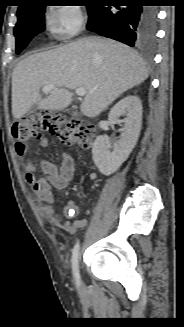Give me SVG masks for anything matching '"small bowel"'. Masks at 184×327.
I'll return each mask as SVG.
<instances>
[{"mask_svg": "<svg viewBox=\"0 0 184 327\" xmlns=\"http://www.w3.org/2000/svg\"><path fill=\"white\" fill-rule=\"evenodd\" d=\"M48 140L41 138L39 141V148L45 149L48 146ZM44 176L37 177L35 174L34 162L29 159L25 163L26 182L33 187V190L41 203L42 214L53 224L60 225L69 232L75 233L77 230L84 228L87 225V220L84 218L75 219L73 221H63V216L55 212L53 208L54 194L52 188L59 190L65 189L75 176V161L69 154L62 156L60 165L43 161L41 163ZM78 214V206L71 201L66 204L64 208V216L67 218H74Z\"/></svg>", "mask_w": 184, "mask_h": 327, "instance_id": "1", "label": "small bowel"}]
</instances>
